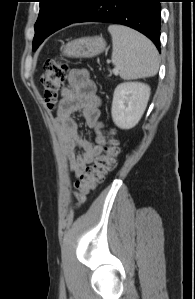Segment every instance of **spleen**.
<instances>
[{"label": "spleen", "instance_id": "1", "mask_svg": "<svg viewBox=\"0 0 195 299\" xmlns=\"http://www.w3.org/2000/svg\"><path fill=\"white\" fill-rule=\"evenodd\" d=\"M112 36V63L124 80L156 75L159 69L158 51L141 33L123 26L110 25Z\"/></svg>", "mask_w": 195, "mask_h": 299}]
</instances>
